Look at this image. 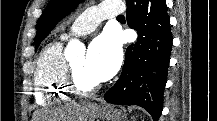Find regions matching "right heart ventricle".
<instances>
[{
	"label": "right heart ventricle",
	"instance_id": "e07e8e85",
	"mask_svg": "<svg viewBox=\"0 0 217 121\" xmlns=\"http://www.w3.org/2000/svg\"><path fill=\"white\" fill-rule=\"evenodd\" d=\"M62 40L63 38L47 44L36 61L35 92L41 105L59 103L69 96L65 84L67 61L62 53Z\"/></svg>",
	"mask_w": 217,
	"mask_h": 121
}]
</instances>
